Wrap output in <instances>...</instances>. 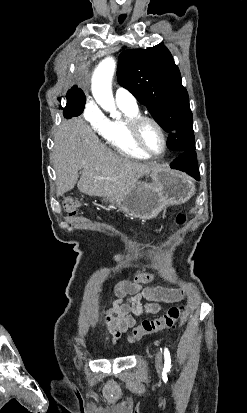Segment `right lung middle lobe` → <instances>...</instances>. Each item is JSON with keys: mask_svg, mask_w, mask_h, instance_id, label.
Listing matches in <instances>:
<instances>
[{"mask_svg": "<svg viewBox=\"0 0 247 413\" xmlns=\"http://www.w3.org/2000/svg\"><path fill=\"white\" fill-rule=\"evenodd\" d=\"M66 98L67 104L65 108L76 116L80 115L84 110L86 101L83 91L80 88L73 87L68 91Z\"/></svg>", "mask_w": 247, "mask_h": 413, "instance_id": "dd1d6c3e", "label": "right lung middle lobe"}]
</instances>
